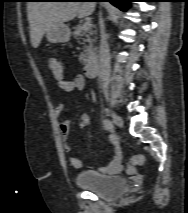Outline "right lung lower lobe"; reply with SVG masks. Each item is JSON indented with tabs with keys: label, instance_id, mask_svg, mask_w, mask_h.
Returning a JSON list of instances; mask_svg holds the SVG:
<instances>
[{
	"label": "right lung lower lobe",
	"instance_id": "obj_1",
	"mask_svg": "<svg viewBox=\"0 0 188 213\" xmlns=\"http://www.w3.org/2000/svg\"><path fill=\"white\" fill-rule=\"evenodd\" d=\"M67 1H70V0H67ZM73 1H77V0H73ZM81 1H86V0H81ZM89 1H106V2H110L114 6H116V7L120 8L121 10L125 11L129 7L130 2H132L134 0H89Z\"/></svg>",
	"mask_w": 188,
	"mask_h": 213
}]
</instances>
